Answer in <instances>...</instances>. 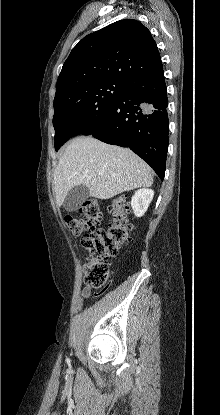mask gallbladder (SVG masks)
Here are the masks:
<instances>
[{
	"instance_id": "1",
	"label": "gallbladder",
	"mask_w": 220,
	"mask_h": 415,
	"mask_svg": "<svg viewBox=\"0 0 220 415\" xmlns=\"http://www.w3.org/2000/svg\"><path fill=\"white\" fill-rule=\"evenodd\" d=\"M90 196L89 190L83 185L72 188L66 195L63 207L66 211H76Z\"/></svg>"
}]
</instances>
